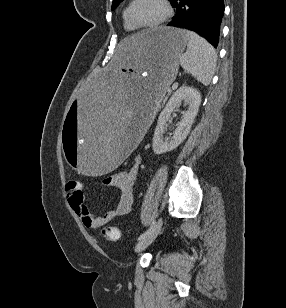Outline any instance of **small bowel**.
Instances as JSON below:
<instances>
[{
    "label": "small bowel",
    "mask_w": 286,
    "mask_h": 308,
    "mask_svg": "<svg viewBox=\"0 0 286 308\" xmlns=\"http://www.w3.org/2000/svg\"><path fill=\"white\" fill-rule=\"evenodd\" d=\"M140 165L141 157L138 156L129 169L117 172L105 179V185L117 188L120 191V197L116 206L103 215L95 216L89 211L85 205L82 185L79 191H67V200L70 207L79 216L86 228L98 229L115 218L130 212L133 203V188L136 183Z\"/></svg>",
    "instance_id": "c3829d8e"
}]
</instances>
